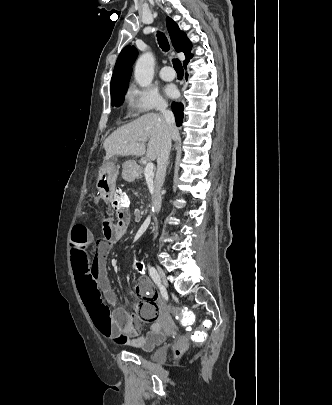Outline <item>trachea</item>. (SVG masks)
<instances>
[{
  "label": "trachea",
  "instance_id": "3493384b",
  "mask_svg": "<svg viewBox=\"0 0 332 405\" xmlns=\"http://www.w3.org/2000/svg\"><path fill=\"white\" fill-rule=\"evenodd\" d=\"M157 40H158V44L162 48V50L165 52H168L170 49V45H169L168 40H167L166 36L164 35V33L158 32ZM173 67L178 74L184 73L180 60L173 59Z\"/></svg>",
  "mask_w": 332,
  "mask_h": 405
}]
</instances>
